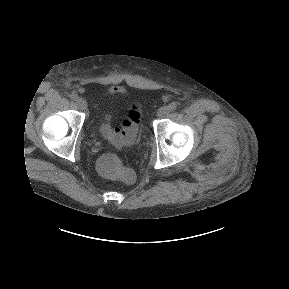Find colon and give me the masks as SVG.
Masks as SVG:
<instances>
[{"label": "colon", "instance_id": "colon-1", "mask_svg": "<svg viewBox=\"0 0 289 289\" xmlns=\"http://www.w3.org/2000/svg\"><path fill=\"white\" fill-rule=\"evenodd\" d=\"M140 120L141 107L134 103L127 111L121 127L114 130L106 128L105 133L114 143H124L136 135ZM97 167L99 172L108 179L125 182H131L133 179L132 173L123 168L120 157L113 152L103 153L98 159Z\"/></svg>", "mask_w": 289, "mask_h": 289}]
</instances>
